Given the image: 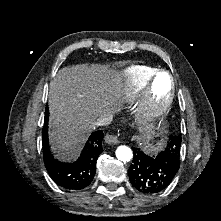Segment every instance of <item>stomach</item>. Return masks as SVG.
<instances>
[{
  "label": "stomach",
  "instance_id": "0dacf381",
  "mask_svg": "<svg viewBox=\"0 0 221 221\" xmlns=\"http://www.w3.org/2000/svg\"><path fill=\"white\" fill-rule=\"evenodd\" d=\"M165 139L166 136L164 127H156L142 132L140 145L145 152L151 154L162 148Z\"/></svg>",
  "mask_w": 221,
  "mask_h": 221
}]
</instances>
